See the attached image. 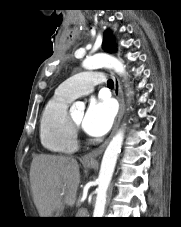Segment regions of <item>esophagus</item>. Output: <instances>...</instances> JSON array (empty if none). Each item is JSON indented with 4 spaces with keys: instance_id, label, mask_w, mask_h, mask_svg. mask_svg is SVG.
Wrapping results in <instances>:
<instances>
[{
    "instance_id": "obj_1",
    "label": "esophagus",
    "mask_w": 181,
    "mask_h": 227,
    "mask_svg": "<svg viewBox=\"0 0 181 227\" xmlns=\"http://www.w3.org/2000/svg\"><path fill=\"white\" fill-rule=\"evenodd\" d=\"M110 74L114 80V95L119 102V112L116 116L115 123H114L113 129H112V132H111L109 138L103 144H101L97 149L84 155L82 158L84 162H94L97 159V157L103 153V151L106 148L107 144L109 143L110 139L115 134V132L119 126L120 120L123 116L124 98H123V91H122L121 83H120L119 78L117 77V75L114 72H110Z\"/></svg>"
}]
</instances>
